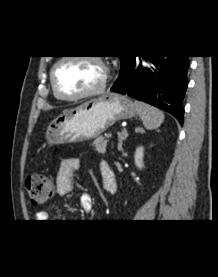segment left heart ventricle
Returning <instances> with one entry per match:
<instances>
[{
  "label": "left heart ventricle",
  "mask_w": 218,
  "mask_h": 277,
  "mask_svg": "<svg viewBox=\"0 0 218 277\" xmlns=\"http://www.w3.org/2000/svg\"><path fill=\"white\" fill-rule=\"evenodd\" d=\"M55 79L63 95L76 96L98 85L101 70L90 61L71 59L58 66Z\"/></svg>",
  "instance_id": "obj_1"
}]
</instances>
